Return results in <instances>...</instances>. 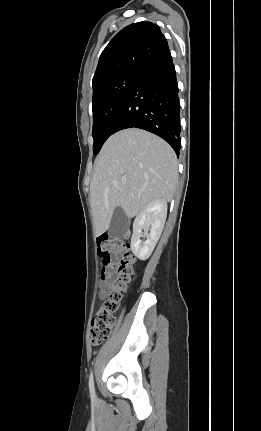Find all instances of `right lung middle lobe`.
Wrapping results in <instances>:
<instances>
[{"label": "right lung middle lobe", "mask_w": 261, "mask_h": 431, "mask_svg": "<svg viewBox=\"0 0 261 431\" xmlns=\"http://www.w3.org/2000/svg\"><path fill=\"white\" fill-rule=\"evenodd\" d=\"M139 72L123 73L93 90V153H99Z\"/></svg>", "instance_id": "1"}]
</instances>
